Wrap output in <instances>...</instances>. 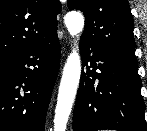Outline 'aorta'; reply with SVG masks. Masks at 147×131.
I'll return each instance as SVG.
<instances>
[{"mask_svg": "<svg viewBox=\"0 0 147 131\" xmlns=\"http://www.w3.org/2000/svg\"><path fill=\"white\" fill-rule=\"evenodd\" d=\"M65 25L72 37H79L84 28V17L72 11L66 14ZM81 75V59L77 47L68 56L60 82L54 117V131H65Z\"/></svg>", "mask_w": 147, "mask_h": 131, "instance_id": "obj_1", "label": "aorta"}]
</instances>
